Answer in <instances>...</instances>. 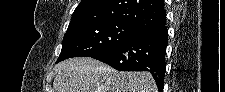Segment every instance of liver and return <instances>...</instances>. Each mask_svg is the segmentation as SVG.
<instances>
[{
	"mask_svg": "<svg viewBox=\"0 0 225 92\" xmlns=\"http://www.w3.org/2000/svg\"><path fill=\"white\" fill-rule=\"evenodd\" d=\"M55 72L54 92H157L149 72H119L90 57L62 61Z\"/></svg>",
	"mask_w": 225,
	"mask_h": 92,
	"instance_id": "obj_1",
	"label": "liver"
}]
</instances>
